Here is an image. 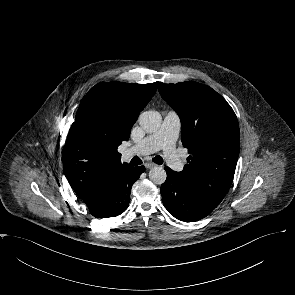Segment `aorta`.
I'll list each match as a JSON object with an SVG mask.
<instances>
[{
	"label": "aorta",
	"mask_w": 295,
	"mask_h": 295,
	"mask_svg": "<svg viewBox=\"0 0 295 295\" xmlns=\"http://www.w3.org/2000/svg\"><path fill=\"white\" fill-rule=\"evenodd\" d=\"M162 118L157 111H145L139 116L140 126L149 133L157 131L161 125ZM167 177L166 171L161 166H155L149 171V179L158 185L165 182Z\"/></svg>",
	"instance_id": "aorta-1"
}]
</instances>
